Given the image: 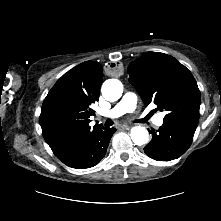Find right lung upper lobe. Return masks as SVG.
Here are the masks:
<instances>
[{
    "label": "right lung upper lobe",
    "instance_id": "1",
    "mask_svg": "<svg viewBox=\"0 0 221 221\" xmlns=\"http://www.w3.org/2000/svg\"><path fill=\"white\" fill-rule=\"evenodd\" d=\"M103 70L98 62L86 61L64 74L46 96L40 115L43 136L61 159L76 149L95 130L91 104L99 99Z\"/></svg>",
    "mask_w": 221,
    "mask_h": 221
}]
</instances>
